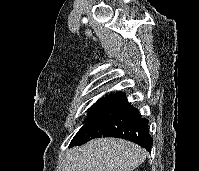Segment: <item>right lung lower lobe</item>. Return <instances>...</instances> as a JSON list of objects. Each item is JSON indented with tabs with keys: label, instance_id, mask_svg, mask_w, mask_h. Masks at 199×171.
<instances>
[{
	"label": "right lung lower lobe",
	"instance_id": "obj_1",
	"mask_svg": "<svg viewBox=\"0 0 199 171\" xmlns=\"http://www.w3.org/2000/svg\"><path fill=\"white\" fill-rule=\"evenodd\" d=\"M98 137H117L130 140L149 152L153 139L148 120L130 105L124 92H116L99 99L88 110L84 125L72 139L70 146L84 144Z\"/></svg>",
	"mask_w": 199,
	"mask_h": 171
}]
</instances>
